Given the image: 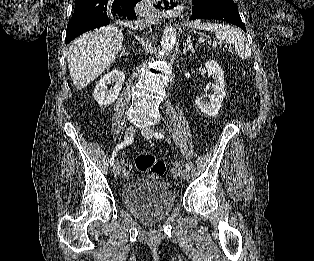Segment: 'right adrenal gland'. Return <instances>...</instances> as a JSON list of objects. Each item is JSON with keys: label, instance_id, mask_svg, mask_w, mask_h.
Listing matches in <instances>:
<instances>
[{"label": "right adrenal gland", "instance_id": "1", "mask_svg": "<svg viewBox=\"0 0 314 261\" xmlns=\"http://www.w3.org/2000/svg\"><path fill=\"white\" fill-rule=\"evenodd\" d=\"M121 55H126V56L129 55V53H128L127 50H126V47H123V48H122Z\"/></svg>", "mask_w": 314, "mask_h": 261}]
</instances>
